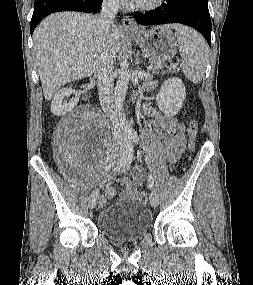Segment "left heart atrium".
I'll return each instance as SVG.
<instances>
[{"label": "left heart atrium", "mask_w": 253, "mask_h": 285, "mask_svg": "<svg viewBox=\"0 0 253 285\" xmlns=\"http://www.w3.org/2000/svg\"><path fill=\"white\" fill-rule=\"evenodd\" d=\"M126 1L136 2L137 0H126Z\"/></svg>", "instance_id": "obj_1"}]
</instances>
